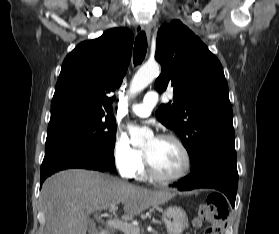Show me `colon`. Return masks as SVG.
I'll return each instance as SVG.
<instances>
[{"label":"colon","instance_id":"5ec220e1","mask_svg":"<svg viewBox=\"0 0 279 234\" xmlns=\"http://www.w3.org/2000/svg\"><path fill=\"white\" fill-rule=\"evenodd\" d=\"M228 214L229 205L226 199L222 195L212 194L199 206L195 224L205 225L204 234H224Z\"/></svg>","mask_w":279,"mask_h":234}]
</instances>
